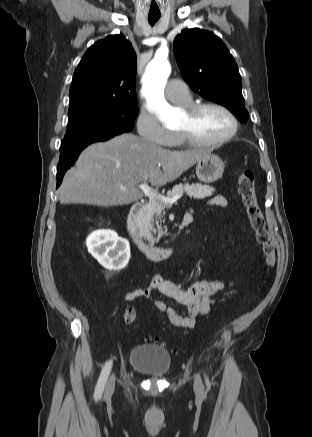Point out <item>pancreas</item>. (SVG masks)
I'll return each instance as SVG.
<instances>
[{"label":"pancreas","instance_id":"pancreas-1","mask_svg":"<svg viewBox=\"0 0 312 437\" xmlns=\"http://www.w3.org/2000/svg\"><path fill=\"white\" fill-rule=\"evenodd\" d=\"M214 188L199 183L196 184H178L175 185L172 190L167 192V198L174 197L176 195H182L186 193L189 197L194 199H204L213 194ZM170 205L161 200L151 201L144 209L143 216L140 222V235L145 240H148L150 245L159 242L160 238L167 233L166 226H162L165 222L162 212L165 208H169ZM156 234V238L153 237Z\"/></svg>","mask_w":312,"mask_h":437}]
</instances>
